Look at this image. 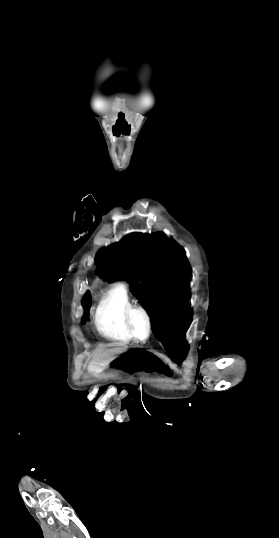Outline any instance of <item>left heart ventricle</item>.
I'll list each match as a JSON object with an SVG mask.
<instances>
[{
  "instance_id": "1",
  "label": "left heart ventricle",
  "mask_w": 279,
  "mask_h": 538,
  "mask_svg": "<svg viewBox=\"0 0 279 538\" xmlns=\"http://www.w3.org/2000/svg\"><path fill=\"white\" fill-rule=\"evenodd\" d=\"M132 328L138 338H144L147 334V328L144 318L140 314H135L132 319Z\"/></svg>"
}]
</instances>
